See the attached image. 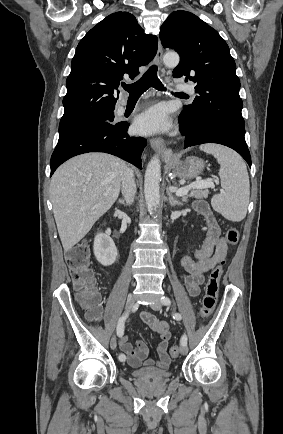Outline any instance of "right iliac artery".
Masks as SVG:
<instances>
[{
    "instance_id": "obj_1",
    "label": "right iliac artery",
    "mask_w": 283,
    "mask_h": 434,
    "mask_svg": "<svg viewBox=\"0 0 283 434\" xmlns=\"http://www.w3.org/2000/svg\"><path fill=\"white\" fill-rule=\"evenodd\" d=\"M127 317H128V313H125L121 316V318L118 321L116 332L119 337H121L124 334V324ZM118 358L120 361H125L126 359V357L123 354H120Z\"/></svg>"
}]
</instances>
